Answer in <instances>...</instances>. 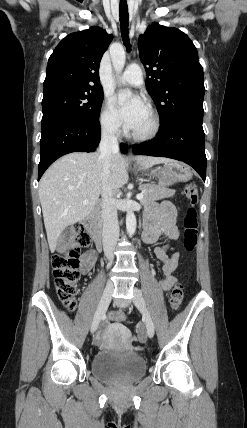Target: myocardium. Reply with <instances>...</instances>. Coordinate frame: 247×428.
Instances as JSON below:
<instances>
[{"instance_id": "1", "label": "myocardium", "mask_w": 247, "mask_h": 428, "mask_svg": "<svg viewBox=\"0 0 247 428\" xmlns=\"http://www.w3.org/2000/svg\"><path fill=\"white\" fill-rule=\"evenodd\" d=\"M148 111L151 115L152 126L151 129L144 134H138L135 132L130 133V137L137 142H148L155 139L161 130V118L159 113L151 106L148 107Z\"/></svg>"}]
</instances>
